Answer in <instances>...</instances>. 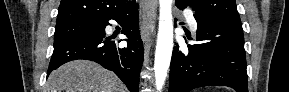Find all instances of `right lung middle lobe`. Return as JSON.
<instances>
[{
  "label": "right lung middle lobe",
  "mask_w": 289,
  "mask_h": 92,
  "mask_svg": "<svg viewBox=\"0 0 289 92\" xmlns=\"http://www.w3.org/2000/svg\"><path fill=\"white\" fill-rule=\"evenodd\" d=\"M99 21H74L56 24L54 34V45H59L73 38L91 35L99 31Z\"/></svg>",
  "instance_id": "dd1d6c3e"
}]
</instances>
